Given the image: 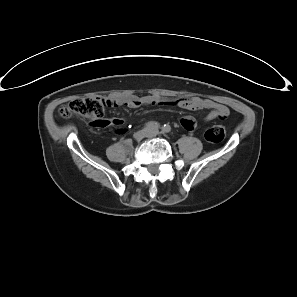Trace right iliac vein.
<instances>
[{"label": "right iliac vein", "mask_w": 297, "mask_h": 297, "mask_svg": "<svg viewBox=\"0 0 297 297\" xmlns=\"http://www.w3.org/2000/svg\"><path fill=\"white\" fill-rule=\"evenodd\" d=\"M148 135V131L147 130H140V131H137L135 134H134V139L136 141H141L144 137H146Z\"/></svg>", "instance_id": "right-iliac-vein-1"}]
</instances>
